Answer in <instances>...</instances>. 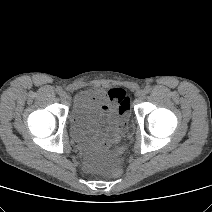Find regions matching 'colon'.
<instances>
[{"instance_id": "obj_1", "label": "colon", "mask_w": 212, "mask_h": 212, "mask_svg": "<svg viewBox=\"0 0 212 212\" xmlns=\"http://www.w3.org/2000/svg\"><path fill=\"white\" fill-rule=\"evenodd\" d=\"M129 104H130V99L126 95V93L124 94V96H120V98L118 99L119 112L121 114H124L125 112H127L129 110V106H130ZM121 173H122L121 168L118 165H115L111 167L108 174L112 178H118L121 176Z\"/></svg>"}]
</instances>
